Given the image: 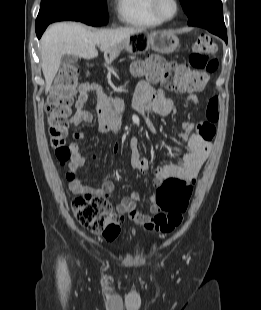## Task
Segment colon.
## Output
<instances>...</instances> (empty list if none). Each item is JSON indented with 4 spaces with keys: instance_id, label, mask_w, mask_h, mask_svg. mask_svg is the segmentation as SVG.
<instances>
[{
    "instance_id": "colon-1",
    "label": "colon",
    "mask_w": 261,
    "mask_h": 310,
    "mask_svg": "<svg viewBox=\"0 0 261 310\" xmlns=\"http://www.w3.org/2000/svg\"><path fill=\"white\" fill-rule=\"evenodd\" d=\"M216 51L213 39L208 35H200L193 45L189 65L165 61L158 55H150L145 60L135 63L133 71L151 82L159 83L169 91L200 92L206 87L209 74L217 68ZM78 80V67L74 64L63 65L57 74L47 105L50 144L61 164H66L71 156L65 139ZM218 119V100L213 97L206 108V120L196 126L197 132L203 138L212 140L216 134L215 123ZM67 178L72 180L74 175L68 173ZM191 193V182L178 176L166 178L154 196L155 205L163 212L157 214L146 228L161 233H170L178 228L183 222ZM72 209L83 227L101 234L108 241L118 237L124 217L112 212L106 197L90 193L78 196L72 202Z\"/></svg>"
}]
</instances>
